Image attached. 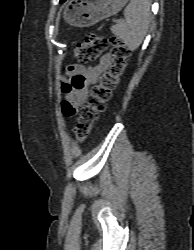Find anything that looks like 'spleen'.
Here are the masks:
<instances>
[{"label": "spleen", "mask_w": 194, "mask_h": 250, "mask_svg": "<svg viewBox=\"0 0 194 250\" xmlns=\"http://www.w3.org/2000/svg\"><path fill=\"white\" fill-rule=\"evenodd\" d=\"M151 0H131L124 10L125 22L114 25L111 31L129 49L136 50L142 43L151 21Z\"/></svg>", "instance_id": "1"}]
</instances>
